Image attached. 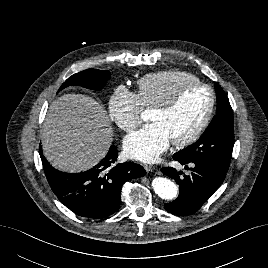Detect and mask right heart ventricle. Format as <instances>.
<instances>
[{"label":"right heart ventricle","mask_w":268,"mask_h":268,"mask_svg":"<svg viewBox=\"0 0 268 268\" xmlns=\"http://www.w3.org/2000/svg\"><path fill=\"white\" fill-rule=\"evenodd\" d=\"M198 81L186 71L167 69L146 74L137 81L138 94L142 104L154 108L164 103L184 83Z\"/></svg>","instance_id":"e07e8e85"}]
</instances>
